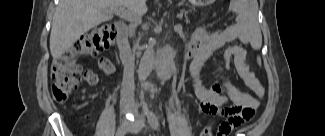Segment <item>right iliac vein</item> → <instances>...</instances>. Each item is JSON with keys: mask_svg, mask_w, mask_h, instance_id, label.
Listing matches in <instances>:
<instances>
[{"mask_svg": "<svg viewBox=\"0 0 325 136\" xmlns=\"http://www.w3.org/2000/svg\"><path fill=\"white\" fill-rule=\"evenodd\" d=\"M125 107L128 109V105H125ZM136 122V121H135ZM135 122H123L120 127L118 128L117 131V136H124L128 131L131 130V128L133 127V125L135 124Z\"/></svg>", "mask_w": 325, "mask_h": 136, "instance_id": "right-iliac-vein-1", "label": "right iliac vein"}]
</instances>
